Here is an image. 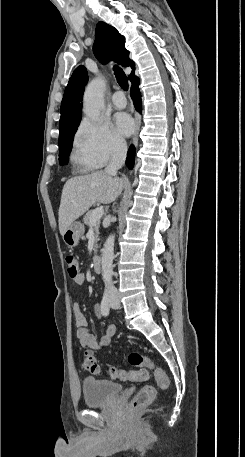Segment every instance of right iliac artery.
<instances>
[{
  "label": "right iliac artery",
  "instance_id": "right-iliac-artery-1",
  "mask_svg": "<svg viewBox=\"0 0 245 457\" xmlns=\"http://www.w3.org/2000/svg\"><path fill=\"white\" fill-rule=\"evenodd\" d=\"M110 311V298H109V292L106 289L101 301V312L104 316H107Z\"/></svg>",
  "mask_w": 245,
  "mask_h": 457
}]
</instances>
